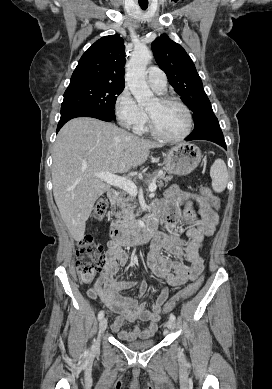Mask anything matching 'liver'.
I'll return each instance as SVG.
<instances>
[{
  "mask_svg": "<svg viewBox=\"0 0 272 389\" xmlns=\"http://www.w3.org/2000/svg\"><path fill=\"white\" fill-rule=\"evenodd\" d=\"M162 146L89 117L75 118L62 127L52 155L53 195L74 240L84 238L94 203L110 189L94 174L127 172L143 164L150 149Z\"/></svg>",
  "mask_w": 272,
  "mask_h": 389,
  "instance_id": "6515ba94",
  "label": "liver"
}]
</instances>
